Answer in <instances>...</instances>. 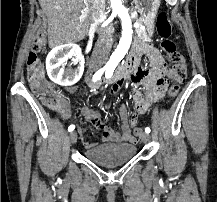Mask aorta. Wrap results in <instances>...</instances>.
<instances>
[{
    "label": "aorta",
    "instance_id": "aorta-1",
    "mask_svg": "<svg viewBox=\"0 0 217 202\" xmlns=\"http://www.w3.org/2000/svg\"><path fill=\"white\" fill-rule=\"evenodd\" d=\"M112 12H115L121 20L122 36L120 38L119 46H117L114 54H112V60L118 64L125 54H127L133 36L132 22L128 14L127 8H124L121 0H110Z\"/></svg>",
    "mask_w": 217,
    "mask_h": 202
}]
</instances>
